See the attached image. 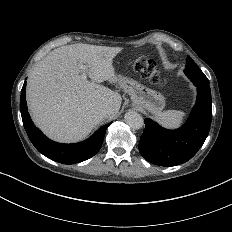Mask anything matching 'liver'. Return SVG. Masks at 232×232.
I'll list each match as a JSON object with an SVG mask.
<instances>
[{"mask_svg":"<svg viewBox=\"0 0 232 232\" xmlns=\"http://www.w3.org/2000/svg\"><path fill=\"white\" fill-rule=\"evenodd\" d=\"M121 47L73 44L51 51L30 73L26 100L37 127L54 141L76 142L87 137L105 118H114L122 98L101 85L116 82L113 58ZM78 64H86L89 78L81 79ZM109 106L111 114L99 110Z\"/></svg>","mask_w":232,"mask_h":232,"instance_id":"6515ba94","label":"liver"}]
</instances>
